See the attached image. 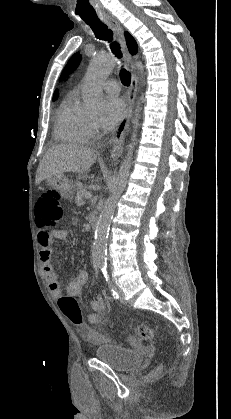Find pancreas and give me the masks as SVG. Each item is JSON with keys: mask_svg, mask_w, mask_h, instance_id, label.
<instances>
[{"mask_svg": "<svg viewBox=\"0 0 231 419\" xmlns=\"http://www.w3.org/2000/svg\"><path fill=\"white\" fill-rule=\"evenodd\" d=\"M77 194L75 197V202L77 205H83L85 203V193L88 192L87 191V186L82 185L80 182H77L75 185Z\"/></svg>", "mask_w": 231, "mask_h": 419, "instance_id": "cf45deb5", "label": "pancreas"}]
</instances>
